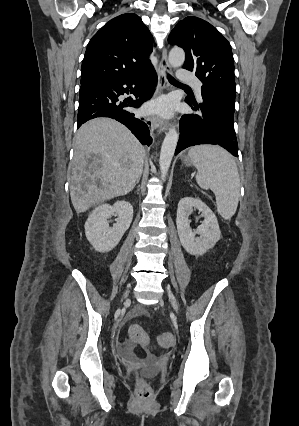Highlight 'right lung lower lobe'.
<instances>
[{
	"mask_svg": "<svg viewBox=\"0 0 299 426\" xmlns=\"http://www.w3.org/2000/svg\"><path fill=\"white\" fill-rule=\"evenodd\" d=\"M157 76L154 69L130 76L112 83L81 84L78 108L79 128L86 121L96 117H110L128 127L143 145H150V122L138 117L134 108L151 98ZM135 85V99H122L120 96L131 92Z\"/></svg>",
	"mask_w": 299,
	"mask_h": 426,
	"instance_id": "98d812e1",
	"label": "right lung lower lobe"
}]
</instances>
